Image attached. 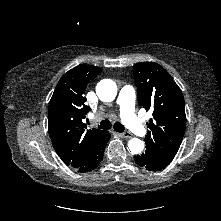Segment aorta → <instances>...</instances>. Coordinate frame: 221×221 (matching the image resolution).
<instances>
[{
    "instance_id": "762f6f07",
    "label": "aorta",
    "mask_w": 221,
    "mask_h": 221,
    "mask_svg": "<svg viewBox=\"0 0 221 221\" xmlns=\"http://www.w3.org/2000/svg\"><path fill=\"white\" fill-rule=\"evenodd\" d=\"M96 94L103 102H111L117 96V85L110 79L101 80L96 86ZM129 150L133 154H139L144 149V142L139 138H132L128 143Z\"/></svg>"
}]
</instances>
